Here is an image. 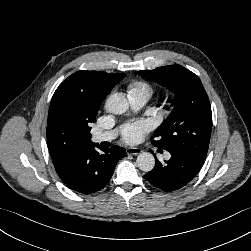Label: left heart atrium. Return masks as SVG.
Wrapping results in <instances>:
<instances>
[{
	"label": "left heart atrium",
	"mask_w": 251,
	"mask_h": 251,
	"mask_svg": "<svg viewBox=\"0 0 251 251\" xmlns=\"http://www.w3.org/2000/svg\"><path fill=\"white\" fill-rule=\"evenodd\" d=\"M151 129V125L146 120H139L128 124L123 130V139L127 143L140 141L143 135Z\"/></svg>",
	"instance_id": "left-heart-atrium-1"
}]
</instances>
